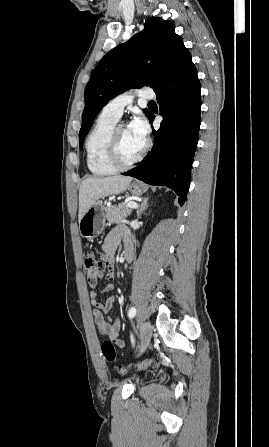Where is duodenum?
I'll return each mask as SVG.
<instances>
[{
  "mask_svg": "<svg viewBox=\"0 0 269 447\" xmlns=\"http://www.w3.org/2000/svg\"><path fill=\"white\" fill-rule=\"evenodd\" d=\"M123 258L126 263H130L133 260V251L131 249H124Z\"/></svg>",
  "mask_w": 269,
  "mask_h": 447,
  "instance_id": "1",
  "label": "duodenum"
}]
</instances>
